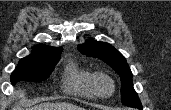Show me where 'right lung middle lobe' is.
<instances>
[{
	"label": "right lung middle lobe",
	"instance_id": "dd1d6c3e",
	"mask_svg": "<svg viewBox=\"0 0 171 110\" xmlns=\"http://www.w3.org/2000/svg\"><path fill=\"white\" fill-rule=\"evenodd\" d=\"M59 59L60 56L48 59L23 58L11 75V83L46 80Z\"/></svg>",
	"mask_w": 171,
	"mask_h": 110
}]
</instances>
